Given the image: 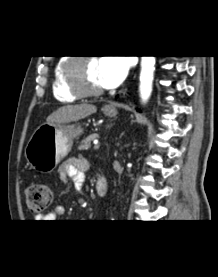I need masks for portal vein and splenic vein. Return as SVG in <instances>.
Returning <instances> with one entry per match:
<instances>
[{
	"mask_svg": "<svg viewBox=\"0 0 218 277\" xmlns=\"http://www.w3.org/2000/svg\"><path fill=\"white\" fill-rule=\"evenodd\" d=\"M100 145L98 144V141L94 142V149L97 150L99 149Z\"/></svg>",
	"mask_w": 218,
	"mask_h": 277,
	"instance_id": "portal-vein-and-splenic-vein-1",
	"label": "portal vein and splenic vein"
}]
</instances>
